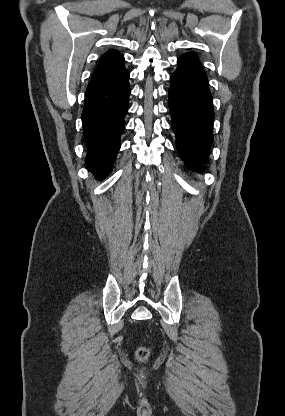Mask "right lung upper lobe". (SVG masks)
<instances>
[{"instance_id":"1","label":"right lung upper lobe","mask_w":285,"mask_h":416,"mask_svg":"<svg viewBox=\"0 0 285 416\" xmlns=\"http://www.w3.org/2000/svg\"><path fill=\"white\" fill-rule=\"evenodd\" d=\"M126 72L123 55L116 50H110L100 59L87 90L108 84Z\"/></svg>"}]
</instances>
